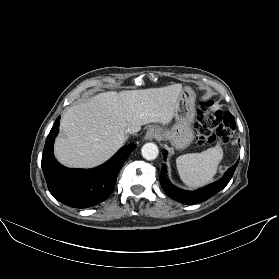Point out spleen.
I'll list each match as a JSON object with an SVG mask.
<instances>
[{"mask_svg":"<svg viewBox=\"0 0 279 279\" xmlns=\"http://www.w3.org/2000/svg\"><path fill=\"white\" fill-rule=\"evenodd\" d=\"M223 158V149L217 144L201 153H189L176 159L177 170L181 180L189 187L203 186L217 173Z\"/></svg>","mask_w":279,"mask_h":279,"instance_id":"1","label":"spleen"}]
</instances>
